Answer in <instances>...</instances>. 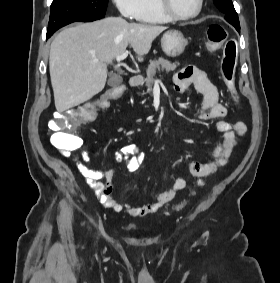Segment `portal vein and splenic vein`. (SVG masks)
I'll use <instances>...</instances> for the list:
<instances>
[{"label": "portal vein and splenic vein", "mask_w": 280, "mask_h": 283, "mask_svg": "<svg viewBox=\"0 0 280 283\" xmlns=\"http://www.w3.org/2000/svg\"><path fill=\"white\" fill-rule=\"evenodd\" d=\"M128 54H129V52H128V51H125L124 53H122V54L116 56V60H117L118 62H120V61H122L123 59H125V58L128 56ZM95 62H97V61H95ZM156 82H158V81H156Z\"/></svg>", "instance_id": "obj_1"}]
</instances>
